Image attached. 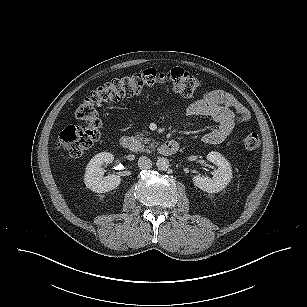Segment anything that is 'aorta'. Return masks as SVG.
<instances>
[{
    "mask_svg": "<svg viewBox=\"0 0 307 307\" xmlns=\"http://www.w3.org/2000/svg\"><path fill=\"white\" fill-rule=\"evenodd\" d=\"M156 166L159 170L166 171L169 168V160L164 157L157 159Z\"/></svg>",
    "mask_w": 307,
    "mask_h": 307,
    "instance_id": "1",
    "label": "aorta"
}]
</instances>
